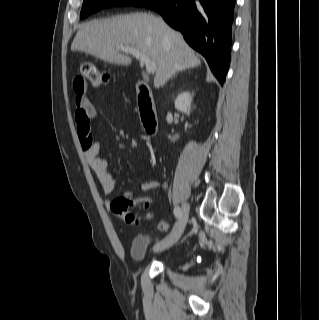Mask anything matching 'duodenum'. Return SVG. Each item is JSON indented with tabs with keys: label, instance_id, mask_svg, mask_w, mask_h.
I'll return each instance as SVG.
<instances>
[{
	"label": "duodenum",
	"instance_id": "duodenum-1",
	"mask_svg": "<svg viewBox=\"0 0 319 320\" xmlns=\"http://www.w3.org/2000/svg\"><path fill=\"white\" fill-rule=\"evenodd\" d=\"M140 116L146 132L153 136L157 131V119L150 87L144 82L136 84Z\"/></svg>",
	"mask_w": 319,
	"mask_h": 320
}]
</instances>
